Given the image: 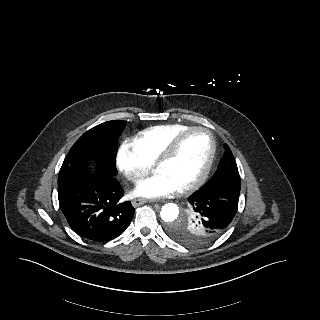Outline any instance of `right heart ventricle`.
<instances>
[{
    "label": "right heart ventricle",
    "mask_w": 320,
    "mask_h": 320,
    "mask_svg": "<svg viewBox=\"0 0 320 320\" xmlns=\"http://www.w3.org/2000/svg\"><path fill=\"white\" fill-rule=\"evenodd\" d=\"M189 127L178 123L153 126L138 133L134 142L146 160L152 163L177 134Z\"/></svg>",
    "instance_id": "1"
}]
</instances>
